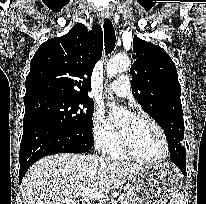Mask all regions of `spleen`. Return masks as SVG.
I'll list each match as a JSON object with an SVG mask.
<instances>
[{"label": "spleen", "mask_w": 206, "mask_h": 204, "mask_svg": "<svg viewBox=\"0 0 206 204\" xmlns=\"http://www.w3.org/2000/svg\"><path fill=\"white\" fill-rule=\"evenodd\" d=\"M169 204H183V196L179 192L173 193L170 198Z\"/></svg>", "instance_id": "3e777b00"}]
</instances>
